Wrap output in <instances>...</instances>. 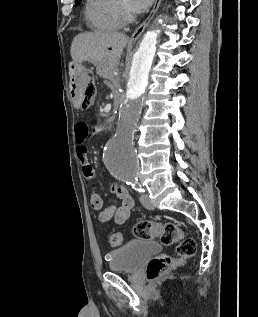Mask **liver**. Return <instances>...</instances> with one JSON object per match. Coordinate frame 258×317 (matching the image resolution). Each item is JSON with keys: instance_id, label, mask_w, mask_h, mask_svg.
Wrapping results in <instances>:
<instances>
[{"instance_id": "6515ba94", "label": "liver", "mask_w": 258, "mask_h": 317, "mask_svg": "<svg viewBox=\"0 0 258 317\" xmlns=\"http://www.w3.org/2000/svg\"><path fill=\"white\" fill-rule=\"evenodd\" d=\"M128 40L127 34L116 30L80 32L72 40L70 50L72 60L73 62L89 60L99 68V72H111L119 64V58Z\"/></svg>"}]
</instances>
